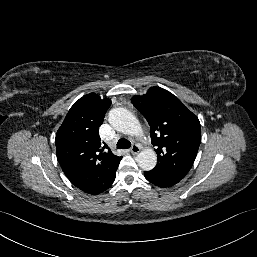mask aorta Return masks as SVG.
Masks as SVG:
<instances>
[{
    "mask_svg": "<svg viewBox=\"0 0 257 257\" xmlns=\"http://www.w3.org/2000/svg\"><path fill=\"white\" fill-rule=\"evenodd\" d=\"M109 123L111 126L124 134L141 135L142 128L136 117L127 109L118 107L109 112ZM138 166L144 171L152 170L157 164L156 153L152 149L141 151L137 157Z\"/></svg>",
    "mask_w": 257,
    "mask_h": 257,
    "instance_id": "1",
    "label": "aorta"
}]
</instances>
